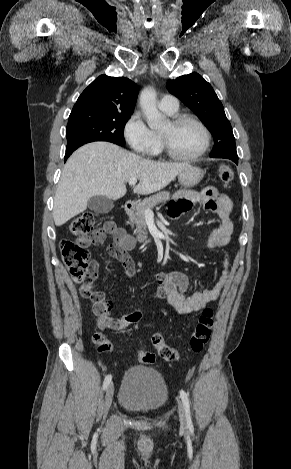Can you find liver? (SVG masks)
I'll list each match as a JSON object with an SVG mask.
<instances>
[{"label": "liver", "mask_w": 291, "mask_h": 469, "mask_svg": "<svg viewBox=\"0 0 291 469\" xmlns=\"http://www.w3.org/2000/svg\"><path fill=\"white\" fill-rule=\"evenodd\" d=\"M187 163L155 162L109 142H92L76 150L67 160L54 197L53 219L62 226L87 208L97 195L122 198L125 183L136 178L133 192L151 194L165 188Z\"/></svg>", "instance_id": "1"}]
</instances>
